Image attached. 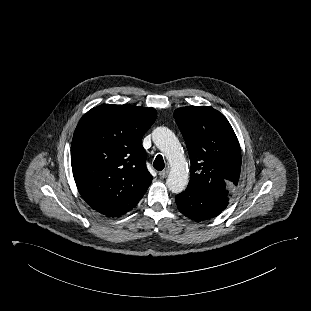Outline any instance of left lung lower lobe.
<instances>
[{
    "instance_id": "left-lung-lower-lobe-1",
    "label": "left lung lower lobe",
    "mask_w": 311,
    "mask_h": 311,
    "mask_svg": "<svg viewBox=\"0 0 311 311\" xmlns=\"http://www.w3.org/2000/svg\"><path fill=\"white\" fill-rule=\"evenodd\" d=\"M228 200L207 194L193 186L176 195V204L182 214L195 221H203L215 217L223 211Z\"/></svg>"
}]
</instances>
